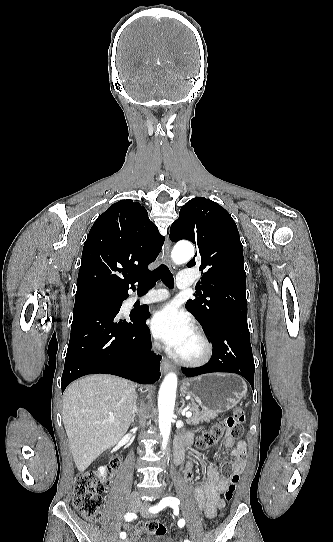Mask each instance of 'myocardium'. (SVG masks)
Segmentation results:
<instances>
[{
  "label": "myocardium",
  "mask_w": 333,
  "mask_h": 542,
  "mask_svg": "<svg viewBox=\"0 0 333 542\" xmlns=\"http://www.w3.org/2000/svg\"><path fill=\"white\" fill-rule=\"evenodd\" d=\"M195 335L200 344L201 351L199 355L192 358H185L177 356L176 354H170L171 358L178 364L188 367H200L207 364L213 356V346L208 337L201 329H195Z\"/></svg>",
  "instance_id": "obj_1"
}]
</instances>
